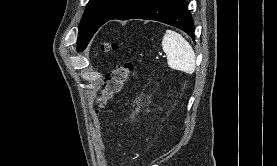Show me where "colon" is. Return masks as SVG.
Wrapping results in <instances>:
<instances>
[{
	"instance_id": "colon-1",
	"label": "colon",
	"mask_w": 277,
	"mask_h": 166,
	"mask_svg": "<svg viewBox=\"0 0 277 166\" xmlns=\"http://www.w3.org/2000/svg\"><path fill=\"white\" fill-rule=\"evenodd\" d=\"M118 44L115 42L104 43L101 46L102 51H115ZM133 64L125 62L118 65L113 70L106 73L103 80V87L100 95L96 99V111L104 109L108 103L121 91L124 84L133 73Z\"/></svg>"
}]
</instances>
